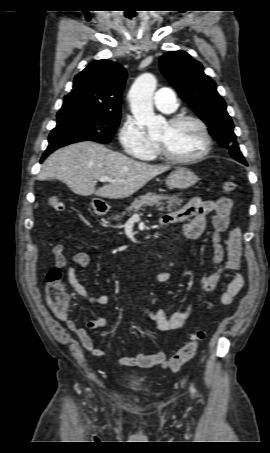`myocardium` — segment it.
I'll return each instance as SVG.
<instances>
[{"label":"myocardium","instance_id":"obj_1","mask_svg":"<svg viewBox=\"0 0 270 453\" xmlns=\"http://www.w3.org/2000/svg\"><path fill=\"white\" fill-rule=\"evenodd\" d=\"M184 122H193L199 126L204 138V147L198 154L194 156L176 157L167 150L166 146L163 143L157 141L159 155L163 159L174 164H190L198 162L199 160L203 159L206 155H208L212 147V138L208 126L201 118L194 115H178L170 118L167 123L170 126H176Z\"/></svg>","mask_w":270,"mask_h":453}]
</instances>
